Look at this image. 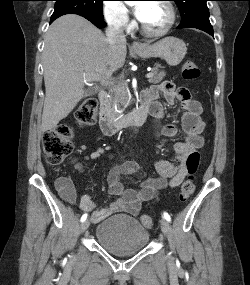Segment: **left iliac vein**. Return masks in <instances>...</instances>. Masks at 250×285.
Listing matches in <instances>:
<instances>
[{
	"instance_id": "1",
	"label": "left iliac vein",
	"mask_w": 250,
	"mask_h": 285,
	"mask_svg": "<svg viewBox=\"0 0 250 285\" xmlns=\"http://www.w3.org/2000/svg\"><path fill=\"white\" fill-rule=\"evenodd\" d=\"M161 230L165 236L169 235L170 225H169V222L165 218L161 219Z\"/></svg>"
}]
</instances>
